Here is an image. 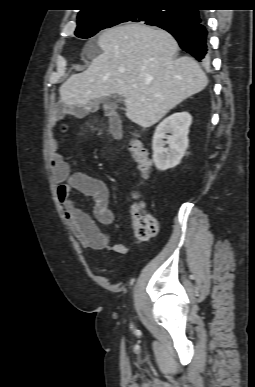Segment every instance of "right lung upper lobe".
<instances>
[{
  "mask_svg": "<svg viewBox=\"0 0 255 387\" xmlns=\"http://www.w3.org/2000/svg\"><path fill=\"white\" fill-rule=\"evenodd\" d=\"M196 0H83V9L78 14V19L83 17L123 6H160L163 4L184 7L194 4Z\"/></svg>",
  "mask_w": 255,
  "mask_h": 387,
  "instance_id": "right-lung-upper-lobe-1",
  "label": "right lung upper lobe"
}]
</instances>
